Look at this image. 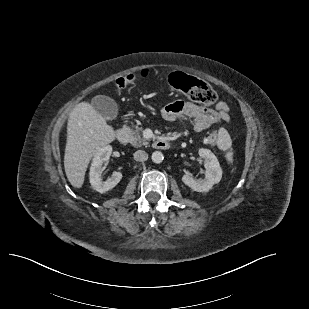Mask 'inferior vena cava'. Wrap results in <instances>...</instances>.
I'll use <instances>...</instances> for the list:
<instances>
[{"label": "inferior vena cava", "mask_w": 309, "mask_h": 309, "mask_svg": "<svg viewBox=\"0 0 309 309\" xmlns=\"http://www.w3.org/2000/svg\"><path fill=\"white\" fill-rule=\"evenodd\" d=\"M134 159L139 162H144L148 159V154L143 150H137L134 153Z\"/></svg>", "instance_id": "602c4592"}]
</instances>
